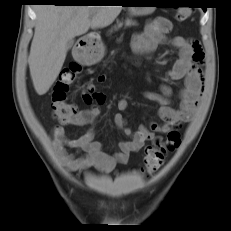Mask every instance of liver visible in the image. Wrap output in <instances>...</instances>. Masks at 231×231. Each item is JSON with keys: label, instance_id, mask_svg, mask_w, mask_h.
<instances>
[{"label": "liver", "instance_id": "obj_1", "mask_svg": "<svg viewBox=\"0 0 231 231\" xmlns=\"http://www.w3.org/2000/svg\"><path fill=\"white\" fill-rule=\"evenodd\" d=\"M121 10L122 6L85 5H38L35 8L37 20L28 63L38 95H44L58 77L68 41L90 28L110 25Z\"/></svg>", "mask_w": 231, "mask_h": 231}]
</instances>
